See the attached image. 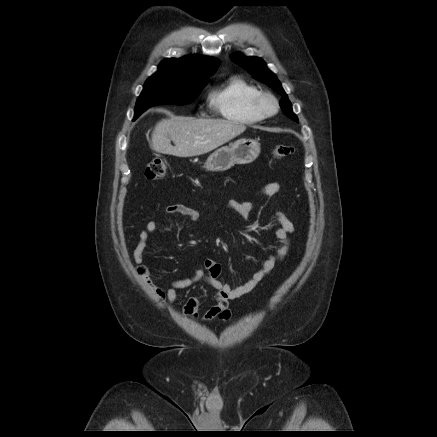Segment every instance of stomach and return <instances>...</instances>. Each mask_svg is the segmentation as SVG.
Masks as SVG:
<instances>
[{
  "mask_svg": "<svg viewBox=\"0 0 437 437\" xmlns=\"http://www.w3.org/2000/svg\"><path fill=\"white\" fill-rule=\"evenodd\" d=\"M260 143L252 139H240L214 151L206 160L207 171L220 172L230 169L234 164L253 162L260 154Z\"/></svg>",
  "mask_w": 437,
  "mask_h": 437,
  "instance_id": "0dacf381",
  "label": "stomach"
}]
</instances>
